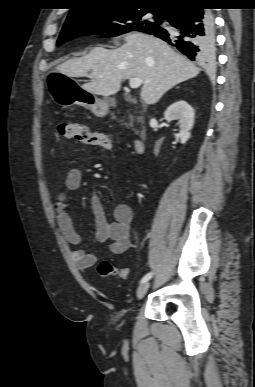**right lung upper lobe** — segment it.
<instances>
[{
    "instance_id": "cb5924a9",
    "label": "right lung upper lobe",
    "mask_w": 255,
    "mask_h": 387,
    "mask_svg": "<svg viewBox=\"0 0 255 387\" xmlns=\"http://www.w3.org/2000/svg\"><path fill=\"white\" fill-rule=\"evenodd\" d=\"M194 0H76V7L71 9L65 23L78 20L84 15L97 10L112 9L122 6L145 8H159L164 11L170 7L180 5Z\"/></svg>"
}]
</instances>
